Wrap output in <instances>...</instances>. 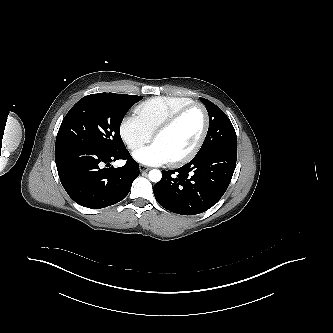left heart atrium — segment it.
Here are the masks:
<instances>
[{
	"label": "left heart atrium",
	"mask_w": 333,
	"mask_h": 333,
	"mask_svg": "<svg viewBox=\"0 0 333 333\" xmlns=\"http://www.w3.org/2000/svg\"><path fill=\"white\" fill-rule=\"evenodd\" d=\"M133 157L144 165L159 166L169 162V157L163 148L154 142L134 152Z\"/></svg>",
	"instance_id": "39dd6f15"
}]
</instances>
